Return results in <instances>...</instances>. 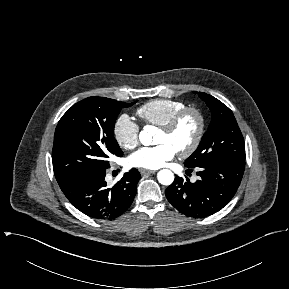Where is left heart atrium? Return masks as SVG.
<instances>
[{"label": "left heart atrium", "mask_w": 289, "mask_h": 289, "mask_svg": "<svg viewBox=\"0 0 289 289\" xmlns=\"http://www.w3.org/2000/svg\"><path fill=\"white\" fill-rule=\"evenodd\" d=\"M176 153L177 151L167 143L142 147L128 157V163L136 168L157 169L171 160Z\"/></svg>", "instance_id": "obj_1"}]
</instances>
